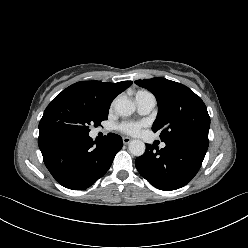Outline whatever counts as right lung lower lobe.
Returning a JSON list of instances; mask_svg holds the SVG:
<instances>
[{"mask_svg":"<svg viewBox=\"0 0 248 248\" xmlns=\"http://www.w3.org/2000/svg\"><path fill=\"white\" fill-rule=\"evenodd\" d=\"M38 144L51 175L72 190L86 189L101 178L123 146L113 133L96 144L88 134L60 131L39 133Z\"/></svg>","mask_w":248,"mask_h":248,"instance_id":"1","label":"right lung lower lobe"}]
</instances>
